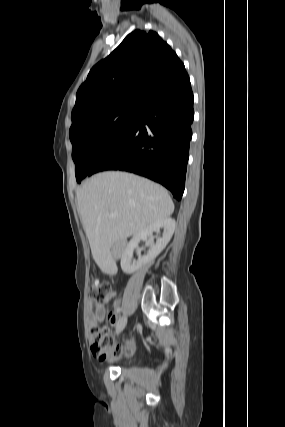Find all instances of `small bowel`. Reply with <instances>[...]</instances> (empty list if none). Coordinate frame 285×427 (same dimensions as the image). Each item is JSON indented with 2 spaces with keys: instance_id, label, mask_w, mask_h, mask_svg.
<instances>
[{
  "instance_id": "obj_1",
  "label": "small bowel",
  "mask_w": 285,
  "mask_h": 427,
  "mask_svg": "<svg viewBox=\"0 0 285 427\" xmlns=\"http://www.w3.org/2000/svg\"><path fill=\"white\" fill-rule=\"evenodd\" d=\"M114 294H115V291H110V293L104 299L103 303H100L97 305H94L92 302L88 303L87 319H88L89 327L97 326L98 324H100L104 321V319L106 318V311H105L103 304L106 301H108L112 296H114ZM119 310H120V302L118 300H116L113 303V312H111L107 315V320L112 326H115L116 324H118V322L120 320L119 316H118ZM92 351H93V354L95 356L101 358L98 353L94 352L93 346H92ZM110 351L113 353V356L109 359L118 358L119 355L121 354L122 346L120 344L115 343V344H113Z\"/></svg>"
}]
</instances>
